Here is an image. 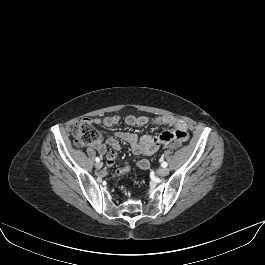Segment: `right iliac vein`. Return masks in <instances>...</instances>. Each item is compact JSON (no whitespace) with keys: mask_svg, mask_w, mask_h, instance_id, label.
<instances>
[{"mask_svg":"<svg viewBox=\"0 0 265 265\" xmlns=\"http://www.w3.org/2000/svg\"><path fill=\"white\" fill-rule=\"evenodd\" d=\"M102 166H103V163H102V162H97V163L95 164V167H96L97 169H101Z\"/></svg>","mask_w":265,"mask_h":265,"instance_id":"right-iliac-vein-1","label":"right iliac vein"}]
</instances>
